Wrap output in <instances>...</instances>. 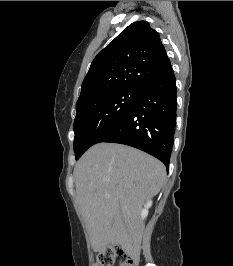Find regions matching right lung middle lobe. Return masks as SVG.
Segmentation results:
<instances>
[{"mask_svg":"<svg viewBox=\"0 0 233 266\" xmlns=\"http://www.w3.org/2000/svg\"><path fill=\"white\" fill-rule=\"evenodd\" d=\"M141 90L118 89L94 95L76 105L74 152L76 159L131 108Z\"/></svg>","mask_w":233,"mask_h":266,"instance_id":"1","label":"right lung middle lobe"}]
</instances>
